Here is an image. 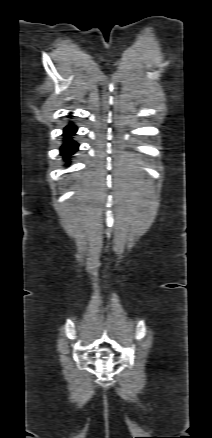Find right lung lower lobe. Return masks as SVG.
Returning <instances> with one entry per match:
<instances>
[{"label": "right lung lower lobe", "instance_id": "98d812e1", "mask_svg": "<svg viewBox=\"0 0 212 438\" xmlns=\"http://www.w3.org/2000/svg\"><path fill=\"white\" fill-rule=\"evenodd\" d=\"M76 130L77 128L73 125H69L64 129L65 143L61 147V154L66 157L72 155L78 149V144L71 139V135H73Z\"/></svg>", "mask_w": 212, "mask_h": 438}]
</instances>
